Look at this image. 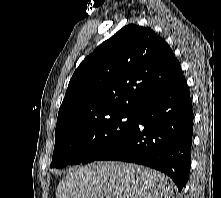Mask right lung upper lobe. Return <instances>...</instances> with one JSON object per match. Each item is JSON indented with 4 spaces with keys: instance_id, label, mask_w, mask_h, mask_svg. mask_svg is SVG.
Returning a JSON list of instances; mask_svg holds the SVG:
<instances>
[{
    "instance_id": "right-lung-upper-lobe-1",
    "label": "right lung upper lobe",
    "mask_w": 221,
    "mask_h": 198,
    "mask_svg": "<svg viewBox=\"0 0 221 198\" xmlns=\"http://www.w3.org/2000/svg\"><path fill=\"white\" fill-rule=\"evenodd\" d=\"M182 76L162 37L151 28L127 25L74 72L58 112L55 137L113 114H137Z\"/></svg>"
}]
</instances>
